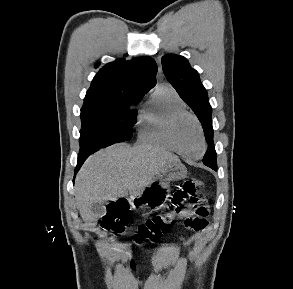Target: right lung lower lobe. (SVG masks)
I'll return each instance as SVG.
<instances>
[{
	"instance_id": "right-lung-lower-lobe-1",
	"label": "right lung lower lobe",
	"mask_w": 293,
	"mask_h": 289,
	"mask_svg": "<svg viewBox=\"0 0 293 289\" xmlns=\"http://www.w3.org/2000/svg\"><path fill=\"white\" fill-rule=\"evenodd\" d=\"M89 153L86 154H79L78 156V164L77 167L75 169V174L77 173V171L79 170V168L81 167V165L83 164V162L85 161V159L89 156Z\"/></svg>"
}]
</instances>
